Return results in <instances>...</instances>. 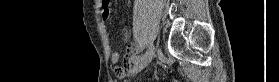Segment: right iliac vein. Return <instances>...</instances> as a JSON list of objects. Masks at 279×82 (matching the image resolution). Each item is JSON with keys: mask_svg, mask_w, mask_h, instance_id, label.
Returning a JSON list of instances; mask_svg holds the SVG:
<instances>
[{"mask_svg": "<svg viewBox=\"0 0 279 82\" xmlns=\"http://www.w3.org/2000/svg\"><path fill=\"white\" fill-rule=\"evenodd\" d=\"M154 49V44L151 43L145 55L133 67L131 75L137 74L150 63L154 55Z\"/></svg>", "mask_w": 279, "mask_h": 82, "instance_id": "1", "label": "right iliac vein"}]
</instances>
